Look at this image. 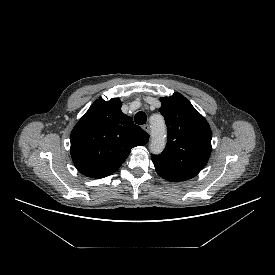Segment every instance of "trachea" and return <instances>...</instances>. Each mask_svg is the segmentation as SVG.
<instances>
[{
    "label": "trachea",
    "mask_w": 275,
    "mask_h": 275,
    "mask_svg": "<svg viewBox=\"0 0 275 275\" xmlns=\"http://www.w3.org/2000/svg\"><path fill=\"white\" fill-rule=\"evenodd\" d=\"M134 121L136 124L143 125L147 121L146 114L143 111H139L136 113Z\"/></svg>",
    "instance_id": "obj_1"
}]
</instances>
